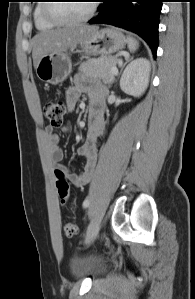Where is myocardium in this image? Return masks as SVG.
Masks as SVG:
<instances>
[{
    "instance_id": "obj_1",
    "label": "myocardium",
    "mask_w": 195,
    "mask_h": 299,
    "mask_svg": "<svg viewBox=\"0 0 195 299\" xmlns=\"http://www.w3.org/2000/svg\"><path fill=\"white\" fill-rule=\"evenodd\" d=\"M47 2H51V1H47ZM54 4L55 3H45L43 6V14L49 22L56 25H76L80 23H85L93 18L98 8V4L96 3L95 0H93L91 3V7L86 15L75 19H65V18L58 17L52 12L51 8Z\"/></svg>"
}]
</instances>
